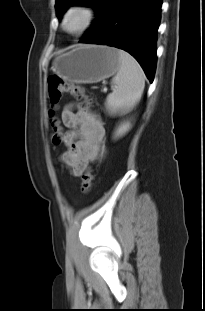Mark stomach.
I'll use <instances>...</instances> for the list:
<instances>
[{
  "label": "stomach",
  "instance_id": "stomach-1",
  "mask_svg": "<svg viewBox=\"0 0 205 311\" xmlns=\"http://www.w3.org/2000/svg\"><path fill=\"white\" fill-rule=\"evenodd\" d=\"M119 67L118 49L103 45H80L56 56L51 69L68 82L92 84L111 77Z\"/></svg>",
  "mask_w": 205,
  "mask_h": 311
}]
</instances>
